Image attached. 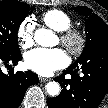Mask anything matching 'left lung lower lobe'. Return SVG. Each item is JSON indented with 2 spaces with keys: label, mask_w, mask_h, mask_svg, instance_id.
<instances>
[{
  "label": "left lung lower lobe",
  "mask_w": 108,
  "mask_h": 108,
  "mask_svg": "<svg viewBox=\"0 0 108 108\" xmlns=\"http://www.w3.org/2000/svg\"><path fill=\"white\" fill-rule=\"evenodd\" d=\"M82 70V74L78 71ZM63 75L55 78L60 83L62 91L47 100L48 108H97L108 91V64L85 63L79 66L71 65L63 71ZM70 74L71 79H66ZM76 90V99L67 100V92Z\"/></svg>",
  "instance_id": "left-lung-lower-lobe-1"
}]
</instances>
